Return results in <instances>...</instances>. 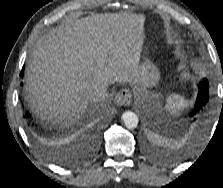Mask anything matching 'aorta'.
Instances as JSON below:
<instances>
[{
  "instance_id": "762f6f07",
  "label": "aorta",
  "mask_w": 223,
  "mask_h": 188,
  "mask_svg": "<svg viewBox=\"0 0 223 188\" xmlns=\"http://www.w3.org/2000/svg\"><path fill=\"white\" fill-rule=\"evenodd\" d=\"M121 118L125 126L129 129L136 128L139 122L138 116L134 112H131V111L124 112Z\"/></svg>"
}]
</instances>
